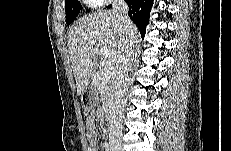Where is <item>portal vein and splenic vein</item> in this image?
<instances>
[{
    "mask_svg": "<svg viewBox=\"0 0 231 151\" xmlns=\"http://www.w3.org/2000/svg\"><path fill=\"white\" fill-rule=\"evenodd\" d=\"M101 52L103 54H105L107 52V49L104 48V47H101ZM114 70V66H113V63L111 61H105L104 64H103V71L108 73V72H112Z\"/></svg>",
    "mask_w": 231,
    "mask_h": 151,
    "instance_id": "obj_1",
    "label": "portal vein and splenic vein"
}]
</instances>
